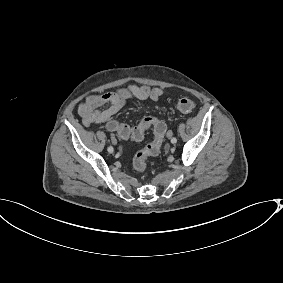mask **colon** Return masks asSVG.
<instances>
[{"label": "colon", "instance_id": "obj_1", "mask_svg": "<svg viewBox=\"0 0 283 283\" xmlns=\"http://www.w3.org/2000/svg\"><path fill=\"white\" fill-rule=\"evenodd\" d=\"M195 107V102L189 98H181L176 103L177 110L183 113L191 112L195 109ZM106 127L109 131L117 133L120 137L134 141L141 140L147 129H153V141L144 149L138 151L133 158V168L140 173L144 172L147 168V158L159 154L166 133V126L164 122L151 116L144 117L133 129H130L128 125L116 120H109Z\"/></svg>", "mask_w": 283, "mask_h": 283}]
</instances>
